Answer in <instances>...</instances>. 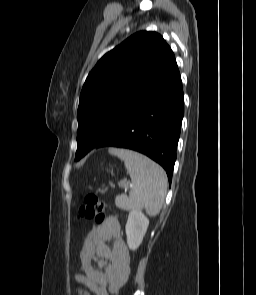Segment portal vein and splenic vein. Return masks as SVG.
<instances>
[{
  "mask_svg": "<svg viewBox=\"0 0 256 295\" xmlns=\"http://www.w3.org/2000/svg\"><path fill=\"white\" fill-rule=\"evenodd\" d=\"M118 185H119L120 187H125V188L127 187V185H126L125 183H122V182H119ZM130 186H131V185H130Z\"/></svg>",
  "mask_w": 256,
  "mask_h": 295,
  "instance_id": "18ae733b",
  "label": "portal vein and splenic vein"
}]
</instances>
